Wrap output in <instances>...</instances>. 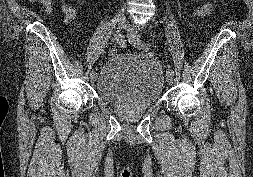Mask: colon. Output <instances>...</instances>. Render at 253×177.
<instances>
[{
  "label": "colon",
  "mask_w": 253,
  "mask_h": 177,
  "mask_svg": "<svg viewBox=\"0 0 253 177\" xmlns=\"http://www.w3.org/2000/svg\"><path fill=\"white\" fill-rule=\"evenodd\" d=\"M117 53H118V52H117V50H116L115 48H111L110 51H109V55L112 56V57H113V56H116Z\"/></svg>",
  "instance_id": "colon-1"
}]
</instances>
